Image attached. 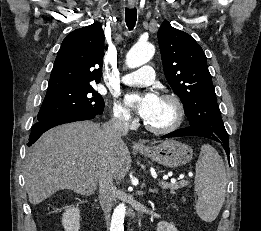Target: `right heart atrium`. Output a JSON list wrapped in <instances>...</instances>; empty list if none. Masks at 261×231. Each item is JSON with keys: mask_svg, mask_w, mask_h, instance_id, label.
<instances>
[{"mask_svg": "<svg viewBox=\"0 0 261 231\" xmlns=\"http://www.w3.org/2000/svg\"><path fill=\"white\" fill-rule=\"evenodd\" d=\"M112 121L121 128H129L134 119L131 112L121 103L116 102L113 105Z\"/></svg>", "mask_w": 261, "mask_h": 231, "instance_id": "d8ad5b80", "label": "right heart atrium"}]
</instances>
